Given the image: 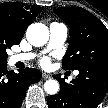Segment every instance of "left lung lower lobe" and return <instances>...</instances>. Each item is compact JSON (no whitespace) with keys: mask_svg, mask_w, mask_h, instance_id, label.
Here are the masks:
<instances>
[{"mask_svg":"<svg viewBox=\"0 0 108 108\" xmlns=\"http://www.w3.org/2000/svg\"><path fill=\"white\" fill-rule=\"evenodd\" d=\"M54 77L60 83V91L47 99L49 108H97L108 91V66L79 70L70 84L60 75Z\"/></svg>","mask_w":108,"mask_h":108,"instance_id":"0a47b994","label":"left lung lower lobe"}]
</instances>
